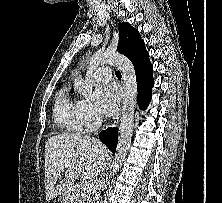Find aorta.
I'll return each instance as SVG.
<instances>
[{
  "instance_id": "1",
  "label": "aorta",
  "mask_w": 222,
  "mask_h": 203,
  "mask_svg": "<svg viewBox=\"0 0 222 203\" xmlns=\"http://www.w3.org/2000/svg\"><path fill=\"white\" fill-rule=\"evenodd\" d=\"M113 64L117 66L123 79V109L119 127L118 145L113 164V175L124 161L130 144L134 128V113L137 100V79L131 61L119 53L105 51L94 54L89 61V68L83 81L75 83V88L87 99L92 98L93 78L92 73L100 65Z\"/></svg>"
}]
</instances>
